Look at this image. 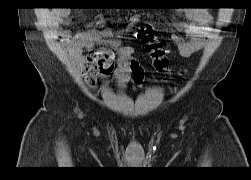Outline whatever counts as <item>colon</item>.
<instances>
[{
    "instance_id": "colon-1",
    "label": "colon",
    "mask_w": 251,
    "mask_h": 180,
    "mask_svg": "<svg viewBox=\"0 0 251 180\" xmlns=\"http://www.w3.org/2000/svg\"><path fill=\"white\" fill-rule=\"evenodd\" d=\"M137 38L151 56L154 68L157 71H166L168 69V60L165 57V51L159 39L152 32L145 29L137 31Z\"/></svg>"
}]
</instances>
